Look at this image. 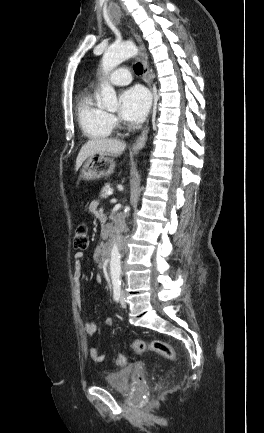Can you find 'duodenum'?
Here are the masks:
<instances>
[{"instance_id": "410a0bca", "label": "duodenum", "mask_w": 264, "mask_h": 433, "mask_svg": "<svg viewBox=\"0 0 264 433\" xmlns=\"http://www.w3.org/2000/svg\"><path fill=\"white\" fill-rule=\"evenodd\" d=\"M100 216L103 217V214H101ZM107 233L110 234L111 231L107 230ZM109 250H110V244H106V245L100 247L99 250H97V252L95 254L96 260L98 262H100L101 264H104L105 261L107 260L108 256H109Z\"/></svg>"}]
</instances>
